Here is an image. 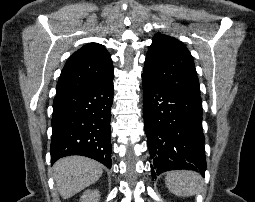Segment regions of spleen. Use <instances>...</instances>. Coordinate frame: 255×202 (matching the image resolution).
Here are the masks:
<instances>
[{
	"mask_svg": "<svg viewBox=\"0 0 255 202\" xmlns=\"http://www.w3.org/2000/svg\"><path fill=\"white\" fill-rule=\"evenodd\" d=\"M168 189L177 196L188 197L202 189L200 175L192 171H171L165 178Z\"/></svg>",
	"mask_w": 255,
	"mask_h": 202,
	"instance_id": "spleen-1",
	"label": "spleen"
}]
</instances>
